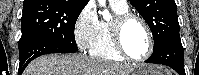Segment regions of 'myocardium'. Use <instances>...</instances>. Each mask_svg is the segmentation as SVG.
Wrapping results in <instances>:
<instances>
[{"mask_svg": "<svg viewBox=\"0 0 199 75\" xmlns=\"http://www.w3.org/2000/svg\"><path fill=\"white\" fill-rule=\"evenodd\" d=\"M131 21H136L143 27V29L147 35V39H148L147 52L140 58H134V57L130 56L128 54V52L126 51V49L124 47V43H123L124 28ZM109 29H110V34H111L112 41H113V44H114L116 50L126 60L132 61V62H144L151 56L153 49H154L153 35H152V32H151L148 24L141 17H139L135 14H131V13L117 15L115 17V19L110 23Z\"/></svg>", "mask_w": 199, "mask_h": 75, "instance_id": "obj_1", "label": "myocardium"}]
</instances>
